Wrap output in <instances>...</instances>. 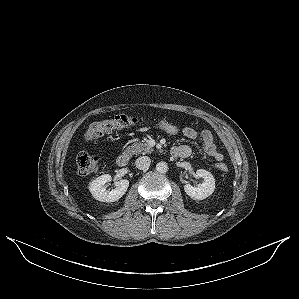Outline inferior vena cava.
Listing matches in <instances>:
<instances>
[{"mask_svg": "<svg viewBox=\"0 0 299 299\" xmlns=\"http://www.w3.org/2000/svg\"><path fill=\"white\" fill-rule=\"evenodd\" d=\"M151 160L148 156L138 157L135 161V165L140 170H146L149 168Z\"/></svg>", "mask_w": 299, "mask_h": 299, "instance_id": "inferior-vena-cava-1", "label": "inferior vena cava"}]
</instances>
